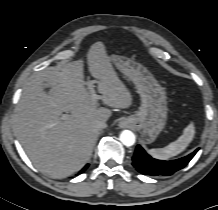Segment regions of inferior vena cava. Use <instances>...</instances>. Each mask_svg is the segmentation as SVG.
<instances>
[{"label":"inferior vena cava","instance_id":"obj_1","mask_svg":"<svg viewBox=\"0 0 218 210\" xmlns=\"http://www.w3.org/2000/svg\"><path fill=\"white\" fill-rule=\"evenodd\" d=\"M106 127H107L106 121L101 120V121H97V122L95 123V128H96L97 130H102V129L106 128Z\"/></svg>","mask_w":218,"mask_h":210}]
</instances>
